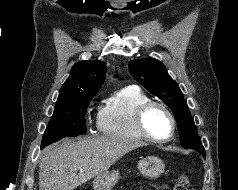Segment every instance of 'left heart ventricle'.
Listing matches in <instances>:
<instances>
[{"label":"left heart ventricle","mask_w":238,"mask_h":190,"mask_svg":"<svg viewBox=\"0 0 238 190\" xmlns=\"http://www.w3.org/2000/svg\"><path fill=\"white\" fill-rule=\"evenodd\" d=\"M146 127L156 137H165L170 132V120L159 108H154L146 116Z\"/></svg>","instance_id":"left-heart-ventricle-1"}]
</instances>
